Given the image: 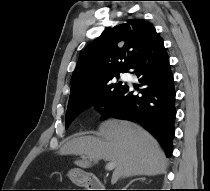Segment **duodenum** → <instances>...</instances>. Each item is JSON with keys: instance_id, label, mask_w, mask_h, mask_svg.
I'll use <instances>...</instances> for the list:
<instances>
[{"instance_id": "1", "label": "duodenum", "mask_w": 210, "mask_h": 191, "mask_svg": "<svg viewBox=\"0 0 210 191\" xmlns=\"http://www.w3.org/2000/svg\"><path fill=\"white\" fill-rule=\"evenodd\" d=\"M78 180L90 191H103L104 189V184L99 178L84 171H78Z\"/></svg>"}]
</instances>
